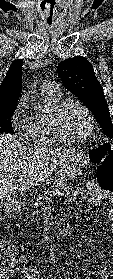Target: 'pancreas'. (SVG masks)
<instances>
[{"label":"pancreas","mask_w":113,"mask_h":279,"mask_svg":"<svg viewBox=\"0 0 113 279\" xmlns=\"http://www.w3.org/2000/svg\"><path fill=\"white\" fill-rule=\"evenodd\" d=\"M72 188L70 186L67 185V182L64 181L61 178H56L52 184L51 187L49 188H45L44 191L42 192V194H40L34 203V208H38L41 207L46 200L48 199V196H54V195H58V194H64L67 197L70 196V192H72Z\"/></svg>","instance_id":"pancreas-1"}]
</instances>
